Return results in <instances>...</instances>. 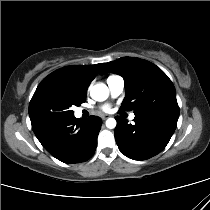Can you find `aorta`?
Segmentation results:
<instances>
[{"instance_id":"obj_1","label":"aorta","mask_w":210,"mask_h":210,"mask_svg":"<svg viewBox=\"0 0 210 210\" xmlns=\"http://www.w3.org/2000/svg\"><path fill=\"white\" fill-rule=\"evenodd\" d=\"M90 96L95 101H99V102L104 101L109 96V89L103 83L96 84L91 88ZM116 124L117 122L114 118H109L106 120V127L109 129L115 128Z\"/></svg>"}]
</instances>
